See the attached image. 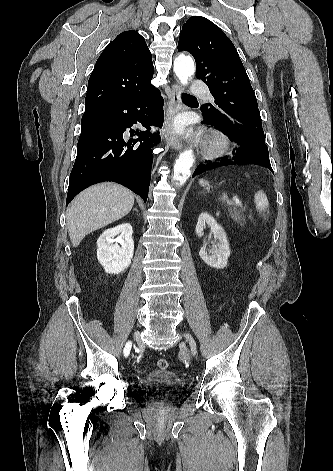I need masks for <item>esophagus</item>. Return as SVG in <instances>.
Returning a JSON list of instances; mask_svg holds the SVG:
<instances>
[{
  "label": "esophagus",
  "instance_id": "obj_1",
  "mask_svg": "<svg viewBox=\"0 0 333 471\" xmlns=\"http://www.w3.org/2000/svg\"><path fill=\"white\" fill-rule=\"evenodd\" d=\"M183 88L179 84H173L171 87V99L169 103V113L168 120L166 125L167 133L165 135L166 142L173 149L180 150L183 146L182 139L175 134L173 130V119L175 115L182 110V104L180 100L181 93Z\"/></svg>",
  "mask_w": 333,
  "mask_h": 471
}]
</instances>
